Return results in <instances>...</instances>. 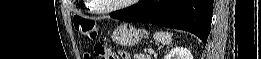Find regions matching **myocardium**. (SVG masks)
<instances>
[{"label":"myocardium","mask_w":261,"mask_h":59,"mask_svg":"<svg viewBox=\"0 0 261 59\" xmlns=\"http://www.w3.org/2000/svg\"><path fill=\"white\" fill-rule=\"evenodd\" d=\"M95 3V1H92ZM132 1H127L126 3H123V4H118V5H115V6H112V7H109V8H94L98 13H101V14H109V13H112V12H115V11H118L122 8H125L127 6L128 3H130Z\"/></svg>","instance_id":"1"}]
</instances>
